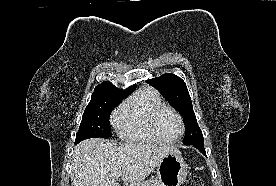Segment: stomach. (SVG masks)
<instances>
[{
	"label": "stomach",
	"instance_id": "stomach-1",
	"mask_svg": "<svg viewBox=\"0 0 276 186\" xmlns=\"http://www.w3.org/2000/svg\"><path fill=\"white\" fill-rule=\"evenodd\" d=\"M187 167L179 150L166 155L157 166L161 186H180L187 176Z\"/></svg>",
	"mask_w": 276,
	"mask_h": 186
}]
</instances>
